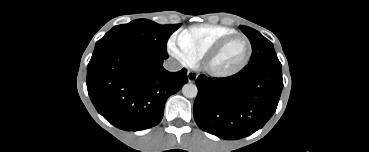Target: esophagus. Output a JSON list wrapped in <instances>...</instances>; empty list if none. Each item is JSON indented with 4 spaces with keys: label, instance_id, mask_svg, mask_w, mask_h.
I'll use <instances>...</instances> for the list:
<instances>
[{
    "label": "esophagus",
    "instance_id": "34e87169",
    "mask_svg": "<svg viewBox=\"0 0 369 152\" xmlns=\"http://www.w3.org/2000/svg\"><path fill=\"white\" fill-rule=\"evenodd\" d=\"M197 77L198 75L195 72H192V71L187 72V78L189 82H195Z\"/></svg>",
    "mask_w": 369,
    "mask_h": 152
}]
</instances>
